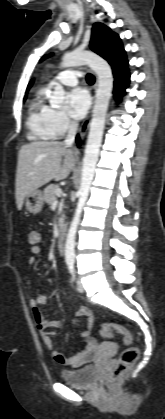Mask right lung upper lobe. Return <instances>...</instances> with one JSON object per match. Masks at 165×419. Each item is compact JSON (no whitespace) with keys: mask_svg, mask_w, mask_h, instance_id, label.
Wrapping results in <instances>:
<instances>
[{"mask_svg":"<svg viewBox=\"0 0 165 419\" xmlns=\"http://www.w3.org/2000/svg\"><path fill=\"white\" fill-rule=\"evenodd\" d=\"M32 83H33V81H31V82L29 83V85H28V89L31 87Z\"/></svg>","mask_w":165,"mask_h":419,"instance_id":"cb5924a9","label":"right lung upper lobe"}]
</instances>
